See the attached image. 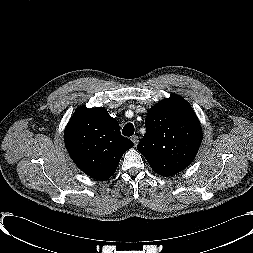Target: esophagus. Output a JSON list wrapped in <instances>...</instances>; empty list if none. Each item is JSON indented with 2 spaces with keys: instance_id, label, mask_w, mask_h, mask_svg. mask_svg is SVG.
Segmentation results:
<instances>
[{
  "instance_id": "obj_1",
  "label": "esophagus",
  "mask_w": 253,
  "mask_h": 253,
  "mask_svg": "<svg viewBox=\"0 0 253 253\" xmlns=\"http://www.w3.org/2000/svg\"><path fill=\"white\" fill-rule=\"evenodd\" d=\"M131 140L133 141L134 145L136 146L139 142V137L137 135H134L131 137Z\"/></svg>"
}]
</instances>
